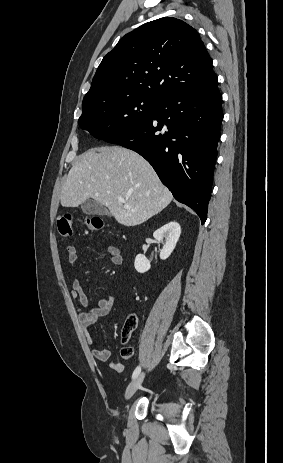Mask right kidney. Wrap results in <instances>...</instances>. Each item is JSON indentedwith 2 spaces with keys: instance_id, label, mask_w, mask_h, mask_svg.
<instances>
[{
  "instance_id": "obj_1",
  "label": "right kidney",
  "mask_w": 283,
  "mask_h": 463,
  "mask_svg": "<svg viewBox=\"0 0 283 463\" xmlns=\"http://www.w3.org/2000/svg\"><path fill=\"white\" fill-rule=\"evenodd\" d=\"M180 234L181 227L179 223L175 221L165 224L154 232L153 237L157 241H161L163 238L166 240L163 249L160 252V259L165 260L171 255L179 240ZM134 267L137 272L145 273L150 269L151 265L145 255L138 254L135 258Z\"/></svg>"
}]
</instances>
